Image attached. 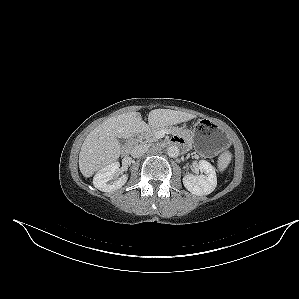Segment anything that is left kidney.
Wrapping results in <instances>:
<instances>
[{
    "label": "left kidney",
    "mask_w": 299,
    "mask_h": 299,
    "mask_svg": "<svg viewBox=\"0 0 299 299\" xmlns=\"http://www.w3.org/2000/svg\"><path fill=\"white\" fill-rule=\"evenodd\" d=\"M200 175L186 174L183 177L185 188L192 194L202 196L214 191L217 185V177L214 167L206 160L199 161Z\"/></svg>",
    "instance_id": "1"
}]
</instances>
